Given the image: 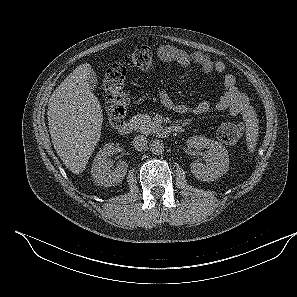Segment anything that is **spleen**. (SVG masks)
I'll list each match as a JSON object with an SVG mask.
<instances>
[{
	"instance_id": "3e777b00",
	"label": "spleen",
	"mask_w": 297,
	"mask_h": 297,
	"mask_svg": "<svg viewBox=\"0 0 297 297\" xmlns=\"http://www.w3.org/2000/svg\"><path fill=\"white\" fill-rule=\"evenodd\" d=\"M247 131H246V140L248 143V148L253 152L256 141L258 137V122L254 113H250L247 118Z\"/></svg>"
}]
</instances>
